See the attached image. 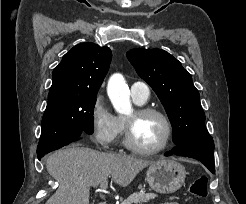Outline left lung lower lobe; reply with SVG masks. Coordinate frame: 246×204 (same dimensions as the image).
I'll return each mask as SVG.
<instances>
[{"mask_svg":"<svg viewBox=\"0 0 246 204\" xmlns=\"http://www.w3.org/2000/svg\"><path fill=\"white\" fill-rule=\"evenodd\" d=\"M214 142L209 133L190 138L178 144L172 151L165 153V156L172 154L191 157L201 161L212 173L214 167Z\"/></svg>","mask_w":246,"mask_h":204,"instance_id":"1","label":"left lung lower lobe"}]
</instances>
